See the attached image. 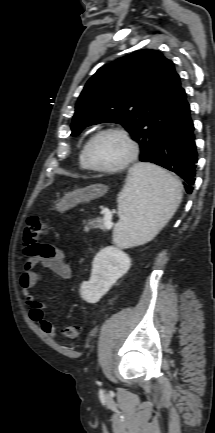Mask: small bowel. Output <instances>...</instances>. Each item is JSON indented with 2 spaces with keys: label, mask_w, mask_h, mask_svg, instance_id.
<instances>
[{
  "label": "small bowel",
  "mask_w": 215,
  "mask_h": 433,
  "mask_svg": "<svg viewBox=\"0 0 215 433\" xmlns=\"http://www.w3.org/2000/svg\"><path fill=\"white\" fill-rule=\"evenodd\" d=\"M26 254L28 258L24 264V271L20 276L19 284L30 309V317L45 334L55 337L57 330L45 317V305L36 298L31 290L43 279L42 274L38 271L39 268H48L61 279H70L72 268L67 261L65 252L49 244H37L32 247L31 253Z\"/></svg>",
  "instance_id": "c3829d8e"
}]
</instances>
